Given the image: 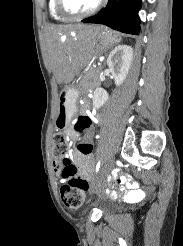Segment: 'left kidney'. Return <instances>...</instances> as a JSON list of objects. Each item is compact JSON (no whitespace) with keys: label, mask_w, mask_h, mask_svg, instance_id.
<instances>
[{"label":"left kidney","mask_w":183,"mask_h":246,"mask_svg":"<svg viewBox=\"0 0 183 246\" xmlns=\"http://www.w3.org/2000/svg\"><path fill=\"white\" fill-rule=\"evenodd\" d=\"M133 59V49L128 45H119L115 47L107 58V65L114 77L116 86H119L126 79ZM109 95L106 90L99 87L93 93V103L96 108L102 107Z\"/></svg>","instance_id":"left-kidney-1"}]
</instances>
